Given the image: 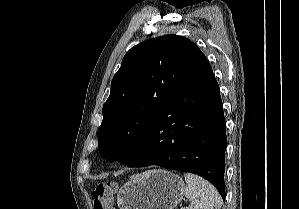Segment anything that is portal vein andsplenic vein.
<instances>
[{
	"mask_svg": "<svg viewBox=\"0 0 299 209\" xmlns=\"http://www.w3.org/2000/svg\"><path fill=\"white\" fill-rule=\"evenodd\" d=\"M181 209H188L187 207H181Z\"/></svg>",
	"mask_w": 299,
	"mask_h": 209,
	"instance_id": "18ae733b",
	"label": "portal vein and splenic vein"
}]
</instances>
